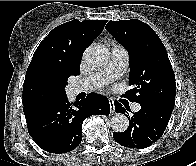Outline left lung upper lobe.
Returning a JSON list of instances; mask_svg holds the SVG:
<instances>
[{"instance_id":"5c2ea615","label":"left lung upper lobe","mask_w":196,"mask_h":166,"mask_svg":"<svg viewBox=\"0 0 196 166\" xmlns=\"http://www.w3.org/2000/svg\"><path fill=\"white\" fill-rule=\"evenodd\" d=\"M105 28L129 54V85L133 88L124 96L131 102L173 110L175 74L165 46L154 30L137 19L109 21Z\"/></svg>"}]
</instances>
